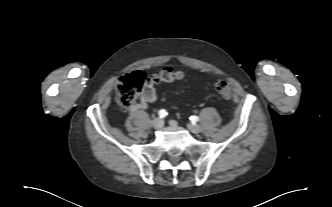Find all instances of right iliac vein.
Segmentation results:
<instances>
[{"mask_svg":"<svg viewBox=\"0 0 332 207\" xmlns=\"http://www.w3.org/2000/svg\"><path fill=\"white\" fill-rule=\"evenodd\" d=\"M152 126L155 129H160L163 127V120L160 118H155L152 120Z\"/></svg>","mask_w":332,"mask_h":207,"instance_id":"63e3f726","label":"right iliac vein"}]
</instances>
